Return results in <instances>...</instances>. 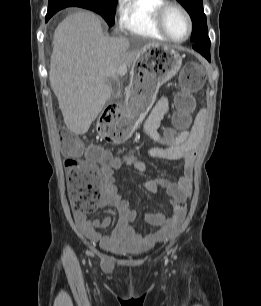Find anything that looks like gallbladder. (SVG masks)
Returning a JSON list of instances; mask_svg holds the SVG:
<instances>
[{"label": "gallbladder", "mask_w": 261, "mask_h": 306, "mask_svg": "<svg viewBox=\"0 0 261 306\" xmlns=\"http://www.w3.org/2000/svg\"><path fill=\"white\" fill-rule=\"evenodd\" d=\"M107 85L111 89L112 99L110 101H112L115 98H118L119 95H120V92H121V88L118 85V83L113 79H108L107 80Z\"/></svg>", "instance_id": "1"}]
</instances>
